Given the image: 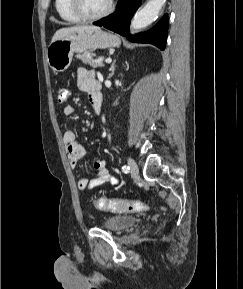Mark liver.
<instances>
[{"mask_svg":"<svg viewBox=\"0 0 243 289\" xmlns=\"http://www.w3.org/2000/svg\"><path fill=\"white\" fill-rule=\"evenodd\" d=\"M81 29L96 30V29H99V27H96V26H72V27L61 28L55 32V34L52 37L51 43L65 37L66 35H68L69 33L73 32V31L81 30Z\"/></svg>","mask_w":243,"mask_h":289,"instance_id":"liver-1","label":"liver"}]
</instances>
